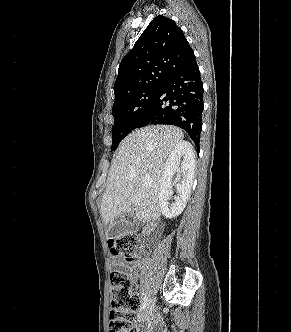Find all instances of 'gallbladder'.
<instances>
[{
    "label": "gallbladder",
    "instance_id": "1",
    "mask_svg": "<svg viewBox=\"0 0 291 332\" xmlns=\"http://www.w3.org/2000/svg\"><path fill=\"white\" fill-rule=\"evenodd\" d=\"M137 228L138 223L136 221L135 211L133 210L131 213H126L120 216L111 227L109 237L116 239L123 235L135 232Z\"/></svg>",
    "mask_w": 291,
    "mask_h": 332
}]
</instances>
